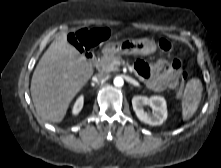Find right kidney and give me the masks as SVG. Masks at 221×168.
Returning <instances> with one entry per match:
<instances>
[{
    "label": "right kidney",
    "instance_id": "ca27d5eb",
    "mask_svg": "<svg viewBox=\"0 0 221 168\" xmlns=\"http://www.w3.org/2000/svg\"><path fill=\"white\" fill-rule=\"evenodd\" d=\"M82 107H83V97L81 96L76 100L74 104L73 114L75 115L78 114L81 111Z\"/></svg>",
    "mask_w": 221,
    "mask_h": 168
}]
</instances>
